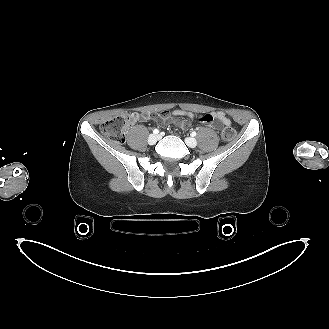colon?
Segmentation results:
<instances>
[{
	"instance_id": "1",
	"label": "colon",
	"mask_w": 329,
	"mask_h": 329,
	"mask_svg": "<svg viewBox=\"0 0 329 329\" xmlns=\"http://www.w3.org/2000/svg\"><path fill=\"white\" fill-rule=\"evenodd\" d=\"M134 121V116L128 113L121 114L104 121L101 125L102 134L118 143H123L126 137V129ZM235 131L231 127L222 130V138L230 141L234 138Z\"/></svg>"
}]
</instances>
